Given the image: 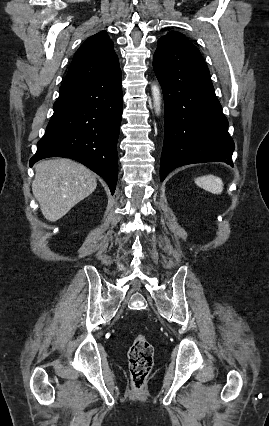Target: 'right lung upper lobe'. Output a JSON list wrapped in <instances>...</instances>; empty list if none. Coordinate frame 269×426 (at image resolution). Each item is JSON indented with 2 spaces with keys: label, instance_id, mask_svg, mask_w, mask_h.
<instances>
[{
  "label": "right lung upper lobe",
  "instance_id": "1",
  "mask_svg": "<svg viewBox=\"0 0 269 426\" xmlns=\"http://www.w3.org/2000/svg\"><path fill=\"white\" fill-rule=\"evenodd\" d=\"M113 45L106 31L89 37L75 53L64 83L100 78L119 70Z\"/></svg>",
  "mask_w": 269,
  "mask_h": 426
}]
</instances>
